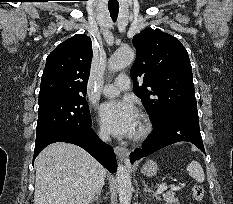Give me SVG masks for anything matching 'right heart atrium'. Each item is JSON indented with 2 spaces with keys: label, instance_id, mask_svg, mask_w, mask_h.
<instances>
[{
  "label": "right heart atrium",
  "instance_id": "obj_1",
  "mask_svg": "<svg viewBox=\"0 0 233 204\" xmlns=\"http://www.w3.org/2000/svg\"><path fill=\"white\" fill-rule=\"evenodd\" d=\"M98 136L101 138V139H106L107 138V134L104 130L100 129L98 131Z\"/></svg>",
  "mask_w": 233,
  "mask_h": 204
}]
</instances>
